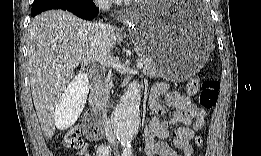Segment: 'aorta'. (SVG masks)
Listing matches in <instances>:
<instances>
[{
  "label": "aorta",
  "instance_id": "obj_1",
  "mask_svg": "<svg viewBox=\"0 0 261 156\" xmlns=\"http://www.w3.org/2000/svg\"><path fill=\"white\" fill-rule=\"evenodd\" d=\"M141 87L138 81H132L116 106L111 123L114 133L123 143L131 141L139 131Z\"/></svg>",
  "mask_w": 261,
  "mask_h": 156
}]
</instances>
